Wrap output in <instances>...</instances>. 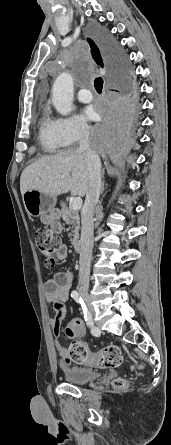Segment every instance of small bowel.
I'll list each match as a JSON object with an SVG mask.
<instances>
[{"label":"small bowel","instance_id":"c3829d8e","mask_svg":"<svg viewBox=\"0 0 171 445\" xmlns=\"http://www.w3.org/2000/svg\"><path fill=\"white\" fill-rule=\"evenodd\" d=\"M51 229L59 233L61 232V224L58 222H52L50 224ZM68 249L67 246L62 244L58 251V260H64L67 257ZM71 266V265H70ZM73 274L70 269L58 272L53 278L47 280L44 284L45 298L49 303L54 304L55 316L50 319L49 324L51 330L55 335L59 334L62 320L66 315V303L68 300L69 290L72 286ZM70 327L73 329L74 333L80 338L85 335V326L80 319H74L70 322ZM57 350L62 356L61 366L63 368L70 367L69 360V349L60 344L56 343ZM88 364V363H82Z\"/></svg>","mask_w":171,"mask_h":445}]
</instances>
